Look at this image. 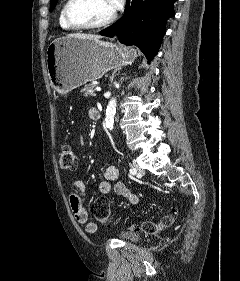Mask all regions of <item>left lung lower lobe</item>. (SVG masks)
Segmentation results:
<instances>
[{
	"label": "left lung lower lobe",
	"instance_id": "0a47b994",
	"mask_svg": "<svg viewBox=\"0 0 240 281\" xmlns=\"http://www.w3.org/2000/svg\"><path fill=\"white\" fill-rule=\"evenodd\" d=\"M176 0H132L127 2L122 18L102 30L100 35L117 36L121 43L136 45L148 63L158 53L166 33V21L175 15Z\"/></svg>",
	"mask_w": 240,
	"mask_h": 281
}]
</instances>
